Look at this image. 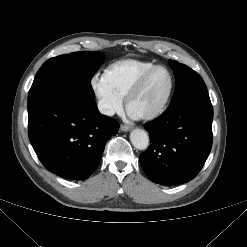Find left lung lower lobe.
<instances>
[{"instance_id":"0a47b994","label":"left lung lower lobe","mask_w":247,"mask_h":247,"mask_svg":"<svg viewBox=\"0 0 247 247\" xmlns=\"http://www.w3.org/2000/svg\"><path fill=\"white\" fill-rule=\"evenodd\" d=\"M213 107L209 97L185 101L147 122L150 146L140 155L147 177L161 185H178L200 172L212 147Z\"/></svg>"}]
</instances>
